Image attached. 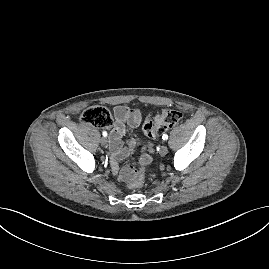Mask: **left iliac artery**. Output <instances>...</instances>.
Instances as JSON below:
<instances>
[{
  "label": "left iliac artery",
  "instance_id": "left-iliac-artery-1",
  "mask_svg": "<svg viewBox=\"0 0 269 269\" xmlns=\"http://www.w3.org/2000/svg\"><path fill=\"white\" fill-rule=\"evenodd\" d=\"M162 139L163 140H167L168 139V135L167 134H163Z\"/></svg>",
  "mask_w": 269,
  "mask_h": 269
}]
</instances>
